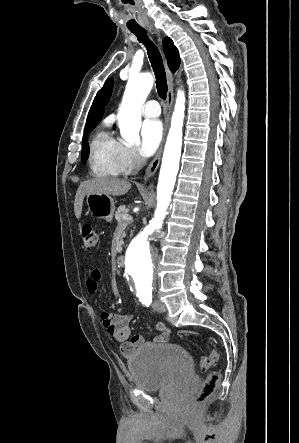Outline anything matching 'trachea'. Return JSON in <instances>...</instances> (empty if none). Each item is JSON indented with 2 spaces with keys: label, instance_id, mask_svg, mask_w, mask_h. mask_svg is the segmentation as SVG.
I'll return each instance as SVG.
<instances>
[{
  "label": "trachea",
  "instance_id": "obj_1",
  "mask_svg": "<svg viewBox=\"0 0 299 443\" xmlns=\"http://www.w3.org/2000/svg\"><path fill=\"white\" fill-rule=\"evenodd\" d=\"M131 32L137 36L139 42L145 44L149 60L151 62L156 77L157 93L160 96V98L165 100L168 91V86H167L166 73L161 54L157 46L153 44L151 41H149L146 30L144 29L131 30Z\"/></svg>",
  "mask_w": 299,
  "mask_h": 443
}]
</instances>
